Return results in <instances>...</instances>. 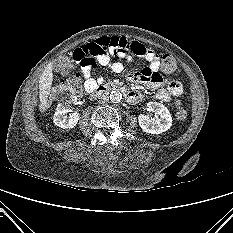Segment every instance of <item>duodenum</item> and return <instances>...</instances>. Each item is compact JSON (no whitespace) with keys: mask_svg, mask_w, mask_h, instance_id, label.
Wrapping results in <instances>:
<instances>
[{"mask_svg":"<svg viewBox=\"0 0 233 233\" xmlns=\"http://www.w3.org/2000/svg\"><path fill=\"white\" fill-rule=\"evenodd\" d=\"M113 91L121 92L128 99L132 97V93L129 90L118 84H100L93 89L91 96L97 97Z\"/></svg>","mask_w":233,"mask_h":233,"instance_id":"1","label":"duodenum"}]
</instances>
